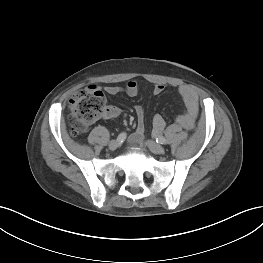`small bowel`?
<instances>
[{
  "label": "small bowel",
  "mask_w": 263,
  "mask_h": 263,
  "mask_svg": "<svg viewBox=\"0 0 263 263\" xmlns=\"http://www.w3.org/2000/svg\"><path fill=\"white\" fill-rule=\"evenodd\" d=\"M164 86L162 84H156L153 86L152 93L154 95H159L163 92ZM179 93L184 101L186 112L178 116L177 121L185 128H191L198 115V96L195 91L188 85H181L178 88ZM106 93L109 95H116L121 92H125L130 97H135L140 91V84L135 81H129L125 88L119 86H107L105 87ZM135 113L137 117V128L136 131L130 136V141L132 143H140L143 138L144 133V108L140 105L135 107ZM119 109L115 106H107L104 114L102 115L105 119H110L118 116ZM153 132L159 134L164 126L165 121L161 115L156 114L152 121Z\"/></svg>",
  "instance_id": "1"
}]
</instances>
